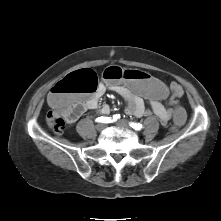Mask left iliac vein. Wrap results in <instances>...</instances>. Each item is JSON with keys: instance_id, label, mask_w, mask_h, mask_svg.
Here are the masks:
<instances>
[{"instance_id": "obj_1", "label": "left iliac vein", "mask_w": 221, "mask_h": 221, "mask_svg": "<svg viewBox=\"0 0 221 221\" xmlns=\"http://www.w3.org/2000/svg\"><path fill=\"white\" fill-rule=\"evenodd\" d=\"M116 125L122 129H130V125L126 120H119L116 122Z\"/></svg>"}]
</instances>
